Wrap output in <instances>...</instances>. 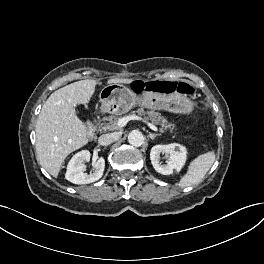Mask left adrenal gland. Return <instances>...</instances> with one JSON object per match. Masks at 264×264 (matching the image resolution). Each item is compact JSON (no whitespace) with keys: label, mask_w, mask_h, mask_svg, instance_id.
<instances>
[{"label":"left adrenal gland","mask_w":264,"mask_h":264,"mask_svg":"<svg viewBox=\"0 0 264 264\" xmlns=\"http://www.w3.org/2000/svg\"><path fill=\"white\" fill-rule=\"evenodd\" d=\"M161 134H155V133H149V137L153 140L157 136H160Z\"/></svg>","instance_id":"left-adrenal-gland-1"}]
</instances>
